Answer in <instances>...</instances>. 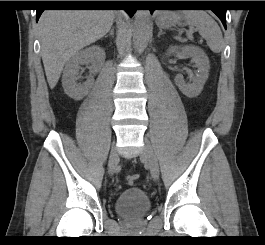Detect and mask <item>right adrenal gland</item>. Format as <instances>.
<instances>
[{
    "label": "right adrenal gland",
    "instance_id": "2a0ac1e0",
    "mask_svg": "<svg viewBox=\"0 0 265 245\" xmlns=\"http://www.w3.org/2000/svg\"><path fill=\"white\" fill-rule=\"evenodd\" d=\"M108 36L114 37V28H110L108 34H106L104 38H107Z\"/></svg>",
    "mask_w": 265,
    "mask_h": 245
}]
</instances>
